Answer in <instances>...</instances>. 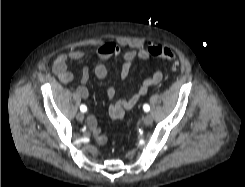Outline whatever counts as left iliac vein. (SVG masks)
Instances as JSON below:
<instances>
[{"instance_id": "1", "label": "left iliac vein", "mask_w": 245, "mask_h": 187, "mask_svg": "<svg viewBox=\"0 0 245 187\" xmlns=\"http://www.w3.org/2000/svg\"><path fill=\"white\" fill-rule=\"evenodd\" d=\"M153 122V118L150 114H147L145 117H144V124L145 125H151Z\"/></svg>"}]
</instances>
